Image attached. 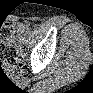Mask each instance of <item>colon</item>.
Listing matches in <instances>:
<instances>
[{
	"label": "colon",
	"instance_id": "5ec220e1",
	"mask_svg": "<svg viewBox=\"0 0 93 93\" xmlns=\"http://www.w3.org/2000/svg\"><path fill=\"white\" fill-rule=\"evenodd\" d=\"M16 26L17 22L13 21L11 26L2 27V37L5 43H9L11 42L12 39L16 38V34H14ZM23 62H24L23 50L18 51L14 49L5 56L4 66L6 71L12 73H20L24 70Z\"/></svg>",
	"mask_w": 93,
	"mask_h": 93
}]
</instances>
